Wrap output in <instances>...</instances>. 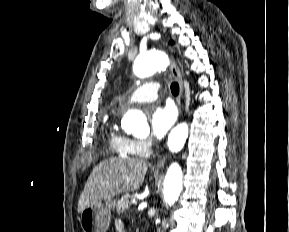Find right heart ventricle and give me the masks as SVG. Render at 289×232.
<instances>
[{
    "label": "right heart ventricle",
    "instance_id": "right-heart-ventricle-1",
    "mask_svg": "<svg viewBox=\"0 0 289 232\" xmlns=\"http://www.w3.org/2000/svg\"><path fill=\"white\" fill-rule=\"evenodd\" d=\"M132 139L121 134L114 124H111L108 134V144L110 150L123 157H133Z\"/></svg>",
    "mask_w": 289,
    "mask_h": 232
}]
</instances>
